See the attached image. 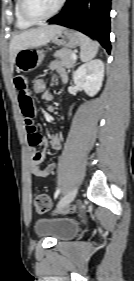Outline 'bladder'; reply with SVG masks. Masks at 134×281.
<instances>
[{"label":"bladder","mask_w":134,"mask_h":281,"mask_svg":"<svg viewBox=\"0 0 134 281\" xmlns=\"http://www.w3.org/2000/svg\"><path fill=\"white\" fill-rule=\"evenodd\" d=\"M78 230V223L72 219L40 218L35 223V232L39 236L57 241L73 237Z\"/></svg>","instance_id":"obj_1"}]
</instances>
